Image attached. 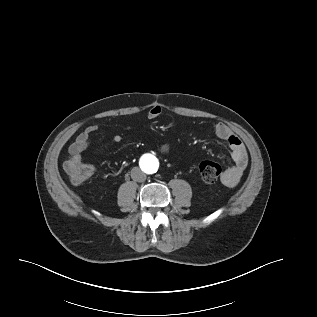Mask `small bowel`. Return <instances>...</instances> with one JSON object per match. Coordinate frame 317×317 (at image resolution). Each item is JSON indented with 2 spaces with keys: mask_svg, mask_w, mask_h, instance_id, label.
Instances as JSON below:
<instances>
[{
  "mask_svg": "<svg viewBox=\"0 0 317 317\" xmlns=\"http://www.w3.org/2000/svg\"><path fill=\"white\" fill-rule=\"evenodd\" d=\"M162 115L160 106H152L148 111V118L156 120ZM98 131L97 125H89L81 132L75 141L69 146L70 161L80 162L82 153L90 146V137ZM216 136L225 141L230 148L233 165L226 169L221 176V182L227 187H234L240 181L248 164V155L241 139L224 123L217 122L214 125ZM113 142L119 143L122 137L118 134L112 138ZM163 151H168V145L163 146Z\"/></svg>",
  "mask_w": 317,
  "mask_h": 317,
  "instance_id": "small-bowel-1",
  "label": "small bowel"
}]
</instances>
